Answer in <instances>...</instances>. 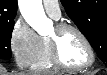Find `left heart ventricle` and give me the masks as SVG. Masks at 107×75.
<instances>
[{
	"instance_id": "b2bd125f",
	"label": "left heart ventricle",
	"mask_w": 107,
	"mask_h": 75,
	"mask_svg": "<svg viewBox=\"0 0 107 75\" xmlns=\"http://www.w3.org/2000/svg\"><path fill=\"white\" fill-rule=\"evenodd\" d=\"M56 35L55 29L51 33L50 37ZM60 54L64 62L71 66H79L85 64L89 59L88 51L80 39V37L74 31H65L59 38Z\"/></svg>"
}]
</instances>
